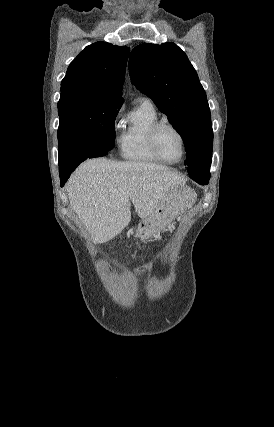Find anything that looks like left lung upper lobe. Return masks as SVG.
Returning a JSON list of instances; mask_svg holds the SVG:
<instances>
[{"instance_id":"obj_1","label":"left lung upper lobe","mask_w":274,"mask_h":427,"mask_svg":"<svg viewBox=\"0 0 274 427\" xmlns=\"http://www.w3.org/2000/svg\"><path fill=\"white\" fill-rule=\"evenodd\" d=\"M133 84L166 114L181 135L189 174L209 175L213 131L206 93L186 54L174 43H144L129 59Z\"/></svg>"}]
</instances>
